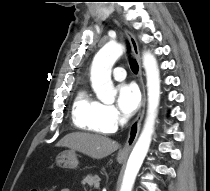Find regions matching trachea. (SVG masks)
<instances>
[{"instance_id":"1","label":"trachea","mask_w":210,"mask_h":191,"mask_svg":"<svg viewBox=\"0 0 210 191\" xmlns=\"http://www.w3.org/2000/svg\"><path fill=\"white\" fill-rule=\"evenodd\" d=\"M130 68L134 73L138 72L139 66L135 60H130Z\"/></svg>"}]
</instances>
